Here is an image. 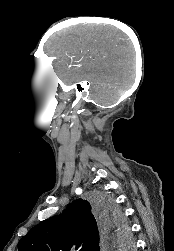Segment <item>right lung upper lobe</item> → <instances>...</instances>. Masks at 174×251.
<instances>
[{
	"instance_id": "right-lung-upper-lobe-1",
	"label": "right lung upper lobe",
	"mask_w": 174,
	"mask_h": 251,
	"mask_svg": "<svg viewBox=\"0 0 174 251\" xmlns=\"http://www.w3.org/2000/svg\"><path fill=\"white\" fill-rule=\"evenodd\" d=\"M102 221L93 204L73 201L58 215L34 226L18 243L19 251H100Z\"/></svg>"
}]
</instances>
